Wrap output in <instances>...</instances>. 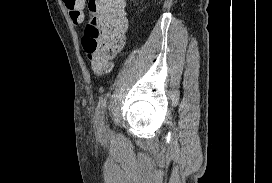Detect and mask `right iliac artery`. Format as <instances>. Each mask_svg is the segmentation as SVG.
Wrapping results in <instances>:
<instances>
[{"label":"right iliac artery","mask_w":272,"mask_h":183,"mask_svg":"<svg viewBox=\"0 0 272 183\" xmlns=\"http://www.w3.org/2000/svg\"><path fill=\"white\" fill-rule=\"evenodd\" d=\"M105 107H106V98L101 97L96 109V116H95V119H96L95 122L98 126H101L104 124Z\"/></svg>","instance_id":"1"}]
</instances>
